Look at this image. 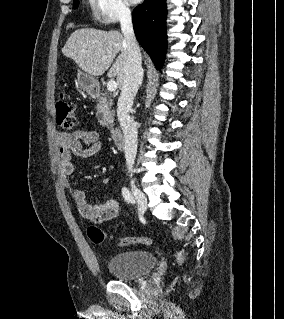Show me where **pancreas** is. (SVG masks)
Listing matches in <instances>:
<instances>
[{
    "label": "pancreas",
    "instance_id": "obj_1",
    "mask_svg": "<svg viewBox=\"0 0 284 319\" xmlns=\"http://www.w3.org/2000/svg\"><path fill=\"white\" fill-rule=\"evenodd\" d=\"M112 100L107 98L106 93L102 94L97 103V117L98 121L102 125H107L113 122L114 113L111 111Z\"/></svg>",
    "mask_w": 284,
    "mask_h": 319
}]
</instances>
